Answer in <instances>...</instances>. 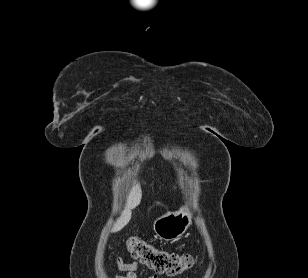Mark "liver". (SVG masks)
I'll return each instance as SVG.
<instances>
[{
    "mask_svg": "<svg viewBox=\"0 0 308 278\" xmlns=\"http://www.w3.org/2000/svg\"><path fill=\"white\" fill-rule=\"evenodd\" d=\"M141 198H142L141 187L139 184H134L127 197L126 206L122 211L120 217L115 222L112 228V232H117L121 230L124 226H126L129 223L132 214L131 210L140 204Z\"/></svg>",
    "mask_w": 308,
    "mask_h": 278,
    "instance_id": "6515ba94",
    "label": "liver"
}]
</instances>
